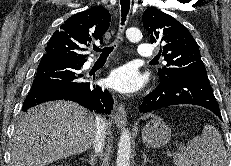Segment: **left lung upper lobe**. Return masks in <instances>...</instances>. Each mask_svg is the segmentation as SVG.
I'll return each mask as SVG.
<instances>
[{
  "label": "left lung upper lobe",
  "mask_w": 231,
  "mask_h": 166,
  "mask_svg": "<svg viewBox=\"0 0 231 166\" xmlns=\"http://www.w3.org/2000/svg\"><path fill=\"white\" fill-rule=\"evenodd\" d=\"M143 26L150 34L151 43L162 44L167 65L158 69L160 80L170 75L207 77L198 45L184 25L151 7L143 14Z\"/></svg>",
  "instance_id": "obj_1"
}]
</instances>
